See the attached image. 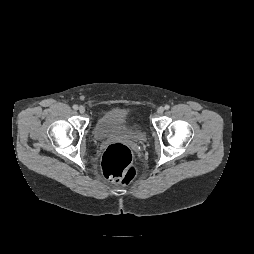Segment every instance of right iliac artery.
<instances>
[{
    "label": "right iliac artery",
    "instance_id": "obj_1",
    "mask_svg": "<svg viewBox=\"0 0 254 254\" xmlns=\"http://www.w3.org/2000/svg\"><path fill=\"white\" fill-rule=\"evenodd\" d=\"M73 109H74V110H77V109H78V106H77V105H73Z\"/></svg>",
    "mask_w": 254,
    "mask_h": 254
}]
</instances>
